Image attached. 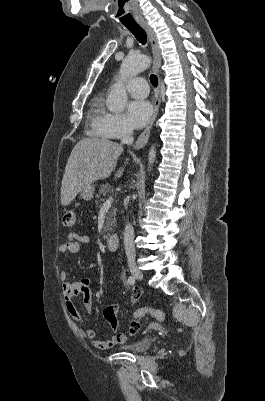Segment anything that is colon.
I'll return each mask as SVG.
<instances>
[{
    "label": "colon",
    "instance_id": "1",
    "mask_svg": "<svg viewBox=\"0 0 265 401\" xmlns=\"http://www.w3.org/2000/svg\"><path fill=\"white\" fill-rule=\"evenodd\" d=\"M76 219L75 212L72 210L66 211L63 215V224L66 227H71L74 225ZM144 316H150L157 321H164L165 315L162 311L151 308V307H142L137 309L133 313V317L130 323V334L135 335L139 330L138 319Z\"/></svg>",
    "mask_w": 265,
    "mask_h": 401
}]
</instances>
